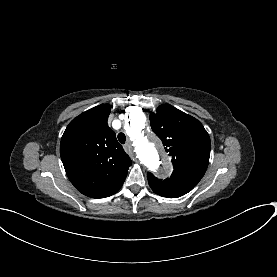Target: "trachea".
Instances as JSON below:
<instances>
[{
  "mask_svg": "<svg viewBox=\"0 0 277 277\" xmlns=\"http://www.w3.org/2000/svg\"><path fill=\"white\" fill-rule=\"evenodd\" d=\"M117 137H118V140H119V142H120L121 144H124V143H125V141H126V136H125L124 133H119Z\"/></svg>",
  "mask_w": 277,
  "mask_h": 277,
  "instance_id": "1",
  "label": "trachea"
}]
</instances>
